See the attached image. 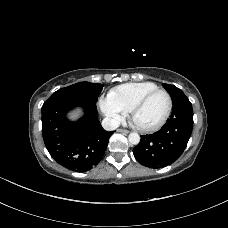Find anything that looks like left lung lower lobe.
<instances>
[{"label":"left lung lower lobe","instance_id":"left-lung-lower-lobe-1","mask_svg":"<svg viewBox=\"0 0 228 228\" xmlns=\"http://www.w3.org/2000/svg\"><path fill=\"white\" fill-rule=\"evenodd\" d=\"M193 128V110L188 98L173 105L166 124L154 134L141 136L133 149L136 160L149 168H162L176 161L185 150Z\"/></svg>","mask_w":228,"mask_h":228}]
</instances>
